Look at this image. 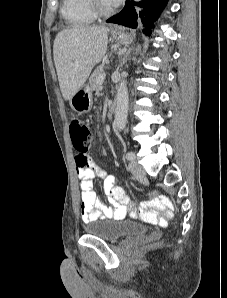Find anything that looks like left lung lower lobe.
I'll use <instances>...</instances> for the list:
<instances>
[{
  "mask_svg": "<svg viewBox=\"0 0 227 298\" xmlns=\"http://www.w3.org/2000/svg\"><path fill=\"white\" fill-rule=\"evenodd\" d=\"M166 1L167 0L127 1L122 11L109 18L106 22L116 23L130 28H136L138 24H141L144 27L143 32L150 35L154 28L153 23L157 20ZM135 6L140 9L136 10Z\"/></svg>",
  "mask_w": 227,
  "mask_h": 298,
  "instance_id": "obj_1",
  "label": "left lung lower lobe"
}]
</instances>
